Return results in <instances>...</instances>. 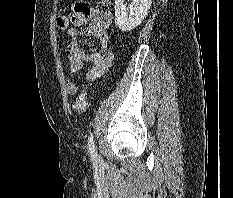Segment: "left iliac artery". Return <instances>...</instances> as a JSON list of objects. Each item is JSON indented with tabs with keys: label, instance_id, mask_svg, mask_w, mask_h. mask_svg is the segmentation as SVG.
I'll use <instances>...</instances> for the list:
<instances>
[{
	"label": "left iliac artery",
	"instance_id": "44dca946",
	"mask_svg": "<svg viewBox=\"0 0 233 198\" xmlns=\"http://www.w3.org/2000/svg\"><path fill=\"white\" fill-rule=\"evenodd\" d=\"M88 149H89V153H90V156H91L92 160L97 163L98 154H97V151H96V147H95V143H94V137H93L92 133L88 137Z\"/></svg>",
	"mask_w": 233,
	"mask_h": 198
}]
</instances>
